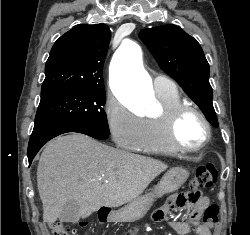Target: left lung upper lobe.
<instances>
[{
  "mask_svg": "<svg viewBox=\"0 0 250 235\" xmlns=\"http://www.w3.org/2000/svg\"><path fill=\"white\" fill-rule=\"evenodd\" d=\"M139 38L161 69L174 78L206 118L218 126L212 104L209 64L197 40L173 24L143 29Z\"/></svg>",
  "mask_w": 250,
  "mask_h": 235,
  "instance_id": "obj_1",
  "label": "left lung upper lobe"
}]
</instances>
